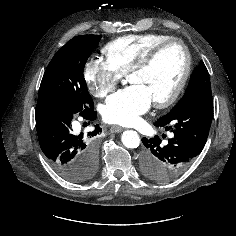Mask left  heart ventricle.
I'll use <instances>...</instances> for the list:
<instances>
[{
  "mask_svg": "<svg viewBox=\"0 0 236 236\" xmlns=\"http://www.w3.org/2000/svg\"><path fill=\"white\" fill-rule=\"evenodd\" d=\"M185 64L182 48L178 44L167 46L146 70L128 77L132 85H141L152 101L167 97L179 81Z\"/></svg>",
  "mask_w": 236,
  "mask_h": 236,
  "instance_id": "1",
  "label": "left heart ventricle"
}]
</instances>
